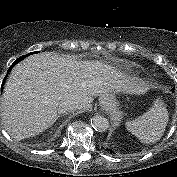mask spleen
Listing matches in <instances>:
<instances>
[{
	"label": "spleen",
	"instance_id": "spleen-1",
	"mask_svg": "<svg viewBox=\"0 0 177 177\" xmlns=\"http://www.w3.org/2000/svg\"><path fill=\"white\" fill-rule=\"evenodd\" d=\"M168 119L166 106L158 98L147 112L135 120L127 121L125 126L141 142L150 144L157 142L163 136Z\"/></svg>",
	"mask_w": 177,
	"mask_h": 177
}]
</instances>
